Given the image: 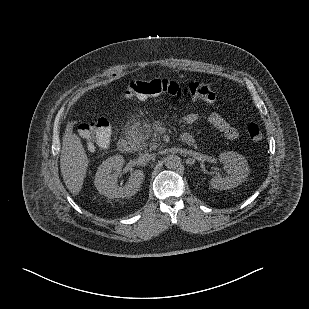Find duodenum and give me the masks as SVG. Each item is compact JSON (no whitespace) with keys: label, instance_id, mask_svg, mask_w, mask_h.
Masks as SVG:
<instances>
[{"label":"duodenum","instance_id":"obj_1","mask_svg":"<svg viewBox=\"0 0 309 309\" xmlns=\"http://www.w3.org/2000/svg\"><path fill=\"white\" fill-rule=\"evenodd\" d=\"M181 139L184 143L188 145H192L194 142V139L191 135L184 134ZM117 147L119 151L124 152V153H130L132 151V143L127 138H120L118 140Z\"/></svg>","mask_w":309,"mask_h":309}]
</instances>
